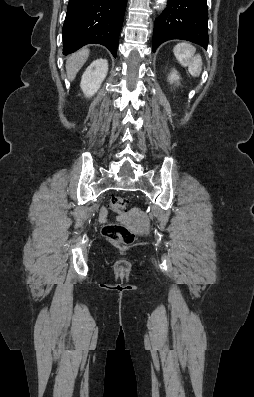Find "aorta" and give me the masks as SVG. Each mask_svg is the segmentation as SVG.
Returning <instances> with one entry per match:
<instances>
[{"label": "aorta", "instance_id": "aorta-1", "mask_svg": "<svg viewBox=\"0 0 254 397\" xmlns=\"http://www.w3.org/2000/svg\"><path fill=\"white\" fill-rule=\"evenodd\" d=\"M166 2V0H157L158 4H164Z\"/></svg>", "mask_w": 254, "mask_h": 397}]
</instances>
